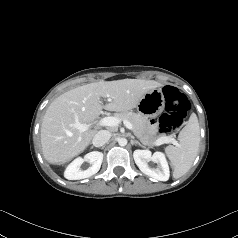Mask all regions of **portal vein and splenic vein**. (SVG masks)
<instances>
[{"instance_id": "1", "label": "portal vein and splenic vein", "mask_w": 238, "mask_h": 238, "mask_svg": "<svg viewBox=\"0 0 238 238\" xmlns=\"http://www.w3.org/2000/svg\"><path fill=\"white\" fill-rule=\"evenodd\" d=\"M120 123H121L120 119H118L117 117H112L111 116V117H104V118H102L98 122V125L99 126H103V127L104 126L115 127V126H118ZM123 123L126 126V128H128L129 130L133 129V125L130 122L123 121ZM74 127L77 128L80 132H85V131H87L90 128V125L89 124H81L79 122H76L74 124ZM164 143H172L174 145H178V142L174 138H171V137H163L161 139H158L155 142V145L159 146V145L164 144Z\"/></svg>"}]
</instances>
